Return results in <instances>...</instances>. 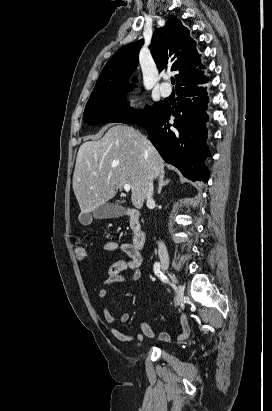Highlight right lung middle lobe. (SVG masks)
<instances>
[{"instance_id":"dd1d6c3e","label":"right lung middle lobe","mask_w":272,"mask_h":411,"mask_svg":"<svg viewBox=\"0 0 272 411\" xmlns=\"http://www.w3.org/2000/svg\"><path fill=\"white\" fill-rule=\"evenodd\" d=\"M129 84L111 85L93 90L84 111V121L88 124L136 123L152 116L161 106L157 102L143 111H134L128 106L125 94Z\"/></svg>"}]
</instances>
